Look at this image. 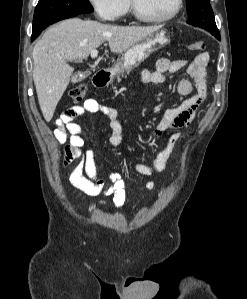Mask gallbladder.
Wrapping results in <instances>:
<instances>
[{
    "instance_id": "1",
    "label": "gallbladder",
    "mask_w": 247,
    "mask_h": 299,
    "mask_svg": "<svg viewBox=\"0 0 247 299\" xmlns=\"http://www.w3.org/2000/svg\"><path fill=\"white\" fill-rule=\"evenodd\" d=\"M81 77L79 76V74H77L76 76L73 77V81L76 82L78 80H80Z\"/></svg>"
}]
</instances>
